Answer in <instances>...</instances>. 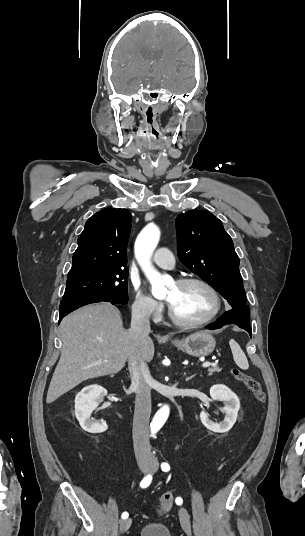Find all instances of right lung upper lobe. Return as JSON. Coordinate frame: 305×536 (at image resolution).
Returning <instances> with one entry per match:
<instances>
[{
  "label": "right lung upper lobe",
  "mask_w": 305,
  "mask_h": 536,
  "mask_svg": "<svg viewBox=\"0 0 305 536\" xmlns=\"http://www.w3.org/2000/svg\"><path fill=\"white\" fill-rule=\"evenodd\" d=\"M131 229V213L106 208L88 219L78 238L68 278L92 272L128 270L126 248Z\"/></svg>",
  "instance_id": "cb5924a9"
}]
</instances>
